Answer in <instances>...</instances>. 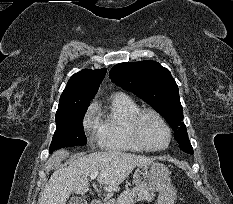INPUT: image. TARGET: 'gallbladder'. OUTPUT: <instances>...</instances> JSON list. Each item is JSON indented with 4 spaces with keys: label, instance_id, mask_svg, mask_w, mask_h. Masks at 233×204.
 I'll return each mask as SVG.
<instances>
[{
    "label": "gallbladder",
    "instance_id": "1",
    "mask_svg": "<svg viewBox=\"0 0 233 204\" xmlns=\"http://www.w3.org/2000/svg\"><path fill=\"white\" fill-rule=\"evenodd\" d=\"M68 204H87V201L81 197H72Z\"/></svg>",
    "mask_w": 233,
    "mask_h": 204
}]
</instances>
